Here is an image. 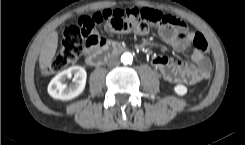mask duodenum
Listing matches in <instances>:
<instances>
[{
	"label": "duodenum",
	"mask_w": 245,
	"mask_h": 145,
	"mask_svg": "<svg viewBox=\"0 0 245 145\" xmlns=\"http://www.w3.org/2000/svg\"><path fill=\"white\" fill-rule=\"evenodd\" d=\"M123 50V46L111 41L91 50L86 56V63L91 67H98L106 59Z\"/></svg>",
	"instance_id": "410a0bca"
}]
</instances>
